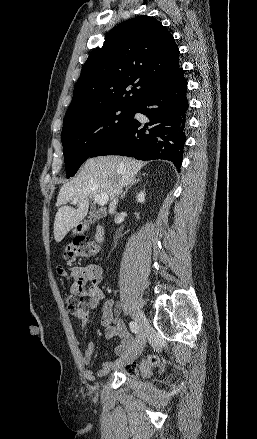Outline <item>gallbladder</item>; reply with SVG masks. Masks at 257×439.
Wrapping results in <instances>:
<instances>
[{"instance_id":"obj_1","label":"gallbladder","mask_w":257,"mask_h":439,"mask_svg":"<svg viewBox=\"0 0 257 439\" xmlns=\"http://www.w3.org/2000/svg\"><path fill=\"white\" fill-rule=\"evenodd\" d=\"M96 220H97V216L93 215L89 221H90V223H94Z\"/></svg>"}]
</instances>
